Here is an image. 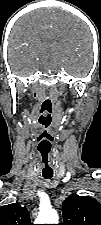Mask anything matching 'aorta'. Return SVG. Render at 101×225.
Returning <instances> with one entry per match:
<instances>
[{"label": "aorta", "mask_w": 101, "mask_h": 225, "mask_svg": "<svg viewBox=\"0 0 101 225\" xmlns=\"http://www.w3.org/2000/svg\"><path fill=\"white\" fill-rule=\"evenodd\" d=\"M58 220L59 217L56 210L50 208L39 213L36 224H58Z\"/></svg>", "instance_id": "obj_1"}]
</instances>
